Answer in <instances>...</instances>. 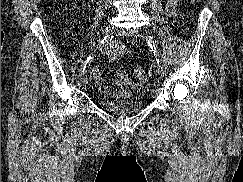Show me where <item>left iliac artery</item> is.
Here are the masks:
<instances>
[{"label": "left iliac artery", "mask_w": 243, "mask_h": 182, "mask_svg": "<svg viewBox=\"0 0 243 182\" xmlns=\"http://www.w3.org/2000/svg\"><path fill=\"white\" fill-rule=\"evenodd\" d=\"M141 37L144 38V39H146V41H147L150 49L153 51V53L155 55L157 64L159 65V63H160L159 53L157 51V48H156L154 39L152 38V36L145 35V34H142Z\"/></svg>", "instance_id": "obj_1"}]
</instances>
